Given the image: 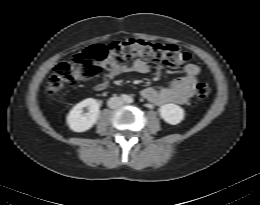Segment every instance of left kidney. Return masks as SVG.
I'll return each instance as SVG.
<instances>
[{"mask_svg": "<svg viewBox=\"0 0 260 205\" xmlns=\"http://www.w3.org/2000/svg\"><path fill=\"white\" fill-rule=\"evenodd\" d=\"M161 118L168 124L177 125L185 116L184 110L175 104H165L159 108Z\"/></svg>", "mask_w": 260, "mask_h": 205, "instance_id": "5707ae66", "label": "left kidney"}]
</instances>
